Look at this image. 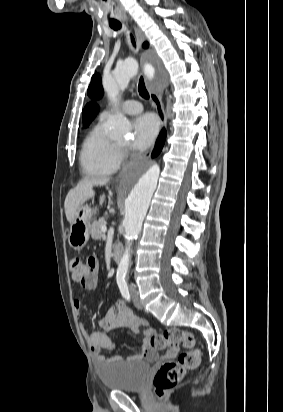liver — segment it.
I'll return each mask as SVG.
<instances>
[{"label":"liver","instance_id":"1","mask_svg":"<svg viewBox=\"0 0 283 412\" xmlns=\"http://www.w3.org/2000/svg\"><path fill=\"white\" fill-rule=\"evenodd\" d=\"M109 178H86L80 181L74 189H71L64 202L66 218L71 224L76 216V212L87 200L95 196L93 186L106 185ZM104 200V196L102 201Z\"/></svg>","mask_w":283,"mask_h":412}]
</instances>
